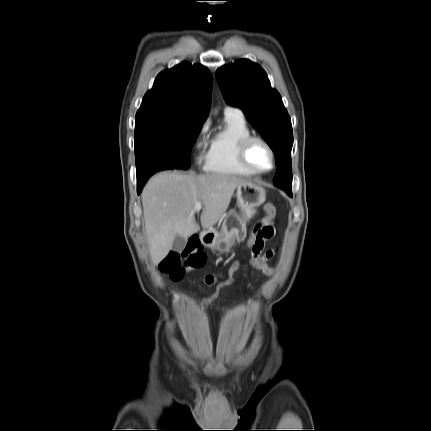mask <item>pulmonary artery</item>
Wrapping results in <instances>:
<instances>
[{"instance_id": "obj_1", "label": "pulmonary artery", "mask_w": 431, "mask_h": 431, "mask_svg": "<svg viewBox=\"0 0 431 431\" xmlns=\"http://www.w3.org/2000/svg\"><path fill=\"white\" fill-rule=\"evenodd\" d=\"M225 114H238V115H241V112L238 109H236V108L226 107L225 108Z\"/></svg>"}]
</instances>
